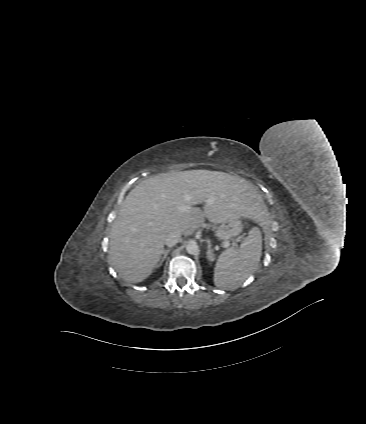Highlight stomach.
<instances>
[{"instance_id": "obj_1", "label": "stomach", "mask_w": 366, "mask_h": 424, "mask_svg": "<svg viewBox=\"0 0 366 424\" xmlns=\"http://www.w3.org/2000/svg\"><path fill=\"white\" fill-rule=\"evenodd\" d=\"M243 229L240 218L222 222L216 230V237L219 240H228L238 236Z\"/></svg>"}]
</instances>
